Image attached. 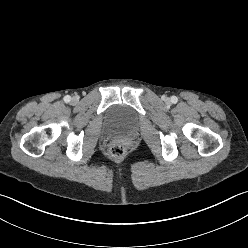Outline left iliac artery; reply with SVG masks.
I'll list each match as a JSON object with an SVG mask.
<instances>
[{"label": "left iliac artery", "mask_w": 248, "mask_h": 248, "mask_svg": "<svg viewBox=\"0 0 248 248\" xmlns=\"http://www.w3.org/2000/svg\"><path fill=\"white\" fill-rule=\"evenodd\" d=\"M177 101H178V98L176 96L171 97V102L172 103H177Z\"/></svg>", "instance_id": "1"}]
</instances>
